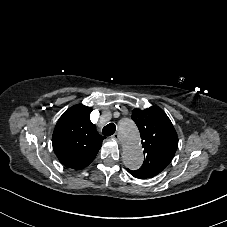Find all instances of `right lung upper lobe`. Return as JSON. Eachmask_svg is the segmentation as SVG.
Instances as JSON below:
<instances>
[{
    "label": "right lung upper lobe",
    "mask_w": 227,
    "mask_h": 227,
    "mask_svg": "<svg viewBox=\"0 0 227 227\" xmlns=\"http://www.w3.org/2000/svg\"><path fill=\"white\" fill-rule=\"evenodd\" d=\"M91 107L77 104L59 118L52 137L53 150L66 167L80 170L96 157L105 137L90 121Z\"/></svg>",
    "instance_id": "right-lung-upper-lobe-1"
}]
</instances>
